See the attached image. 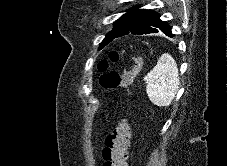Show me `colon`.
<instances>
[{
    "mask_svg": "<svg viewBox=\"0 0 227 166\" xmlns=\"http://www.w3.org/2000/svg\"><path fill=\"white\" fill-rule=\"evenodd\" d=\"M109 56L111 60L117 61L121 53L117 50H113L110 52ZM130 62L131 68L123 74L106 71V63H103L101 66L103 75L100 79L102 87L108 90H118L129 87L135 75L141 70L142 58L140 56H132ZM130 139V126L127 122L121 120L105 140L103 166H127Z\"/></svg>",
    "mask_w": 227,
    "mask_h": 166,
    "instance_id": "1",
    "label": "colon"
}]
</instances>
